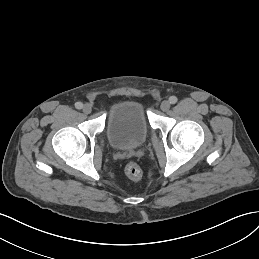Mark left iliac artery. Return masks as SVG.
Masks as SVG:
<instances>
[{
    "label": "left iliac artery",
    "mask_w": 259,
    "mask_h": 259,
    "mask_svg": "<svg viewBox=\"0 0 259 259\" xmlns=\"http://www.w3.org/2000/svg\"><path fill=\"white\" fill-rule=\"evenodd\" d=\"M177 101H178V99H177L176 96H171V97L169 98V102H170L171 104H175Z\"/></svg>",
    "instance_id": "1"
}]
</instances>
